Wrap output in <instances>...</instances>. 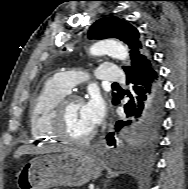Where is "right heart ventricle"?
Segmentation results:
<instances>
[{
    "label": "right heart ventricle",
    "mask_w": 188,
    "mask_h": 189,
    "mask_svg": "<svg viewBox=\"0 0 188 189\" xmlns=\"http://www.w3.org/2000/svg\"><path fill=\"white\" fill-rule=\"evenodd\" d=\"M69 92L55 78L45 82L29 109L30 135L36 142H55L49 129L50 115L57 101Z\"/></svg>",
    "instance_id": "obj_1"
}]
</instances>
